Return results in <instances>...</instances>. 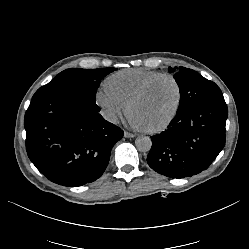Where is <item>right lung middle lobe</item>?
<instances>
[{
	"label": "right lung middle lobe",
	"mask_w": 249,
	"mask_h": 249,
	"mask_svg": "<svg viewBox=\"0 0 249 249\" xmlns=\"http://www.w3.org/2000/svg\"><path fill=\"white\" fill-rule=\"evenodd\" d=\"M117 68L79 69L71 68L59 73L48 84L39 88L32 100L57 94H74L95 103L101 79Z\"/></svg>",
	"instance_id": "1"
}]
</instances>
